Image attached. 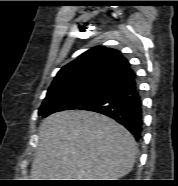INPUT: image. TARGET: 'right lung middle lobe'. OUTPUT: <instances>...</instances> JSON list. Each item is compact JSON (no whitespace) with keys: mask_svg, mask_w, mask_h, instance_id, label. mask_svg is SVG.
<instances>
[{"mask_svg":"<svg viewBox=\"0 0 178 186\" xmlns=\"http://www.w3.org/2000/svg\"><path fill=\"white\" fill-rule=\"evenodd\" d=\"M108 86V84L91 83L47 92L38 114L45 118L58 111L78 109Z\"/></svg>","mask_w":178,"mask_h":186,"instance_id":"1","label":"right lung middle lobe"}]
</instances>
